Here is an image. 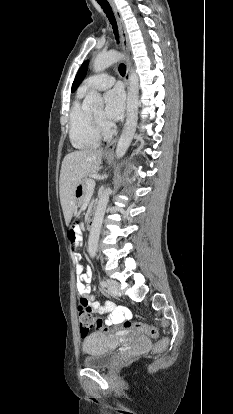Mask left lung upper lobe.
<instances>
[{
  "mask_svg": "<svg viewBox=\"0 0 233 414\" xmlns=\"http://www.w3.org/2000/svg\"><path fill=\"white\" fill-rule=\"evenodd\" d=\"M87 68H88V61H85L82 64V66L80 67V69H79V71H78V73L75 77V80H74L73 85H72L71 92H74L78 88V86L80 85V83L82 82V80L84 79V77L86 75Z\"/></svg>",
  "mask_w": 233,
  "mask_h": 414,
  "instance_id": "5c2ea615",
  "label": "left lung upper lobe"
}]
</instances>
